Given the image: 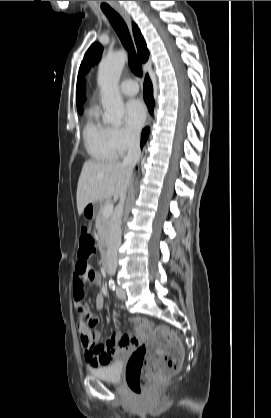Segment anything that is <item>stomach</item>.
<instances>
[{"label": "stomach", "mask_w": 271, "mask_h": 418, "mask_svg": "<svg viewBox=\"0 0 271 418\" xmlns=\"http://www.w3.org/2000/svg\"><path fill=\"white\" fill-rule=\"evenodd\" d=\"M101 206L100 202H93L87 204L83 209V215L88 220H93L96 216V214L99 211V208Z\"/></svg>", "instance_id": "0dacf381"}]
</instances>
